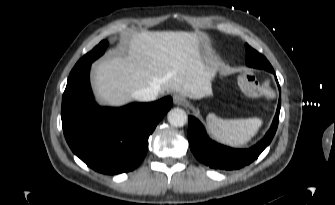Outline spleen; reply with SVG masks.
Masks as SVG:
<instances>
[{
  "instance_id": "1",
  "label": "spleen",
  "mask_w": 335,
  "mask_h": 205,
  "mask_svg": "<svg viewBox=\"0 0 335 205\" xmlns=\"http://www.w3.org/2000/svg\"><path fill=\"white\" fill-rule=\"evenodd\" d=\"M206 120L211 134L217 140L235 147L247 144L262 125L259 118L224 120L215 114H209Z\"/></svg>"
}]
</instances>
